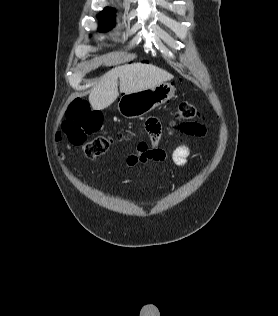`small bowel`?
<instances>
[{"mask_svg": "<svg viewBox=\"0 0 278 316\" xmlns=\"http://www.w3.org/2000/svg\"><path fill=\"white\" fill-rule=\"evenodd\" d=\"M144 131L148 134L151 144L148 145L144 140H140L137 144L136 152L123 158V163L127 167L145 164L149 161L161 163L170 162L180 168H183L187 165L191 154L190 146L187 143L178 145L170 154L159 147V141L161 138V125L157 119H148ZM205 132V129L202 128L201 132L196 136H204Z\"/></svg>", "mask_w": 278, "mask_h": 316, "instance_id": "obj_1", "label": "small bowel"}]
</instances>
